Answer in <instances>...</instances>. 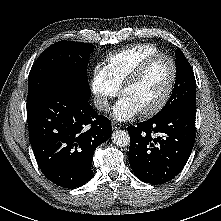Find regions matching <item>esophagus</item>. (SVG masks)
Segmentation results:
<instances>
[{
    "mask_svg": "<svg viewBox=\"0 0 221 221\" xmlns=\"http://www.w3.org/2000/svg\"><path fill=\"white\" fill-rule=\"evenodd\" d=\"M111 124H112V128H113L114 130L120 129V128L122 127L121 124H119L118 122H115V121H112Z\"/></svg>",
    "mask_w": 221,
    "mask_h": 221,
    "instance_id": "obj_1",
    "label": "esophagus"
}]
</instances>
